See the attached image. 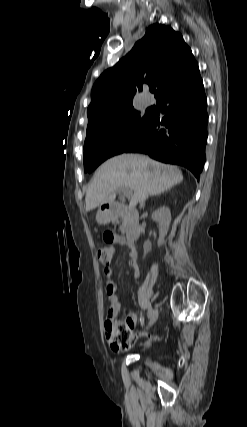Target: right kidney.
<instances>
[{
    "mask_svg": "<svg viewBox=\"0 0 247 427\" xmlns=\"http://www.w3.org/2000/svg\"><path fill=\"white\" fill-rule=\"evenodd\" d=\"M152 219L156 221L159 225V239L158 246L164 244L165 236L168 233L170 222H171V212L170 209L166 206H162L155 210L152 213Z\"/></svg>",
    "mask_w": 247,
    "mask_h": 427,
    "instance_id": "obj_1",
    "label": "right kidney"
}]
</instances>
